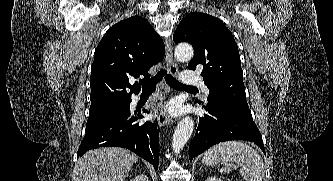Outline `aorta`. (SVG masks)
<instances>
[{"mask_svg": "<svg viewBox=\"0 0 333 181\" xmlns=\"http://www.w3.org/2000/svg\"><path fill=\"white\" fill-rule=\"evenodd\" d=\"M174 56L177 61L185 62L193 57V48L189 44H179L175 48ZM194 130V121L191 117L187 116L183 118L177 125L173 138H172V149L178 154L184 145L190 139Z\"/></svg>", "mask_w": 333, "mask_h": 181, "instance_id": "aorta-1", "label": "aorta"}]
</instances>
